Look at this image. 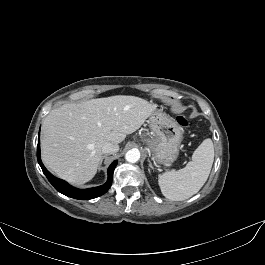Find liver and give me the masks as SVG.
<instances>
[{"instance_id": "liver-1", "label": "liver", "mask_w": 265, "mask_h": 265, "mask_svg": "<svg viewBox=\"0 0 265 265\" xmlns=\"http://www.w3.org/2000/svg\"><path fill=\"white\" fill-rule=\"evenodd\" d=\"M155 111V104L125 95L64 104L43 122L42 161L56 176L84 184L97 172L103 145H118Z\"/></svg>"}]
</instances>
